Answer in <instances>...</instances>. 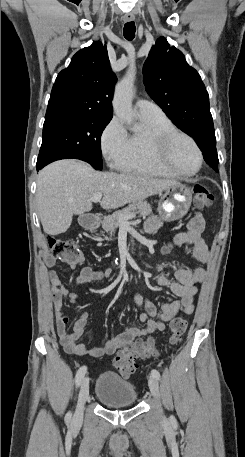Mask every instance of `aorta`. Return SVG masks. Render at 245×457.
<instances>
[{
    "label": "aorta",
    "instance_id": "762f6f07",
    "mask_svg": "<svg viewBox=\"0 0 245 457\" xmlns=\"http://www.w3.org/2000/svg\"><path fill=\"white\" fill-rule=\"evenodd\" d=\"M134 80L135 70L129 69L123 79L116 85L112 102L116 115L129 125L135 122V112L132 108ZM134 129H137L136 125H134Z\"/></svg>",
    "mask_w": 245,
    "mask_h": 457
}]
</instances>
